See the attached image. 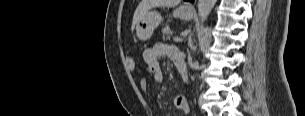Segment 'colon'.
<instances>
[{
	"instance_id": "obj_1",
	"label": "colon",
	"mask_w": 305,
	"mask_h": 116,
	"mask_svg": "<svg viewBox=\"0 0 305 116\" xmlns=\"http://www.w3.org/2000/svg\"><path fill=\"white\" fill-rule=\"evenodd\" d=\"M127 65H128V68L131 71H133L135 69V62H134V59L131 56L127 57Z\"/></svg>"
}]
</instances>
